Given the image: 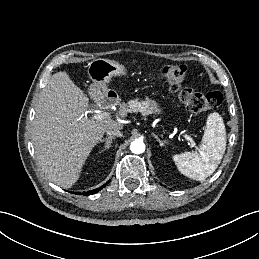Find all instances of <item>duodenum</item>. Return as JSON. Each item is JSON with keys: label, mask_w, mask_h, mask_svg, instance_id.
<instances>
[{"label": "duodenum", "mask_w": 259, "mask_h": 259, "mask_svg": "<svg viewBox=\"0 0 259 259\" xmlns=\"http://www.w3.org/2000/svg\"><path fill=\"white\" fill-rule=\"evenodd\" d=\"M115 98L111 97L109 94H107L103 99H101L100 104L102 106L110 107L115 104Z\"/></svg>", "instance_id": "duodenum-1"}]
</instances>
